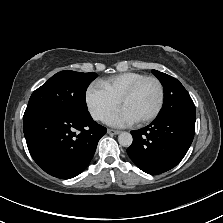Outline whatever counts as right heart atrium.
I'll return each instance as SVG.
<instances>
[{
  "label": "right heart atrium",
  "mask_w": 223,
  "mask_h": 223,
  "mask_svg": "<svg viewBox=\"0 0 223 223\" xmlns=\"http://www.w3.org/2000/svg\"><path fill=\"white\" fill-rule=\"evenodd\" d=\"M84 98L90 115L98 121L104 120L119 105V99L110 94L102 81L90 83Z\"/></svg>",
  "instance_id": "d8ad5b80"
}]
</instances>
